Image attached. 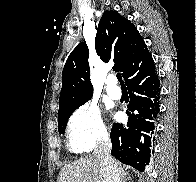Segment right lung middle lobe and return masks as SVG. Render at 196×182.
<instances>
[{
	"mask_svg": "<svg viewBox=\"0 0 196 182\" xmlns=\"http://www.w3.org/2000/svg\"><path fill=\"white\" fill-rule=\"evenodd\" d=\"M78 107H76V108H78ZM76 108H74V109L70 110L69 112L58 117V129H59L60 134L61 133L64 134L68 119Z\"/></svg>",
	"mask_w": 196,
	"mask_h": 182,
	"instance_id": "right-lung-middle-lobe-1",
	"label": "right lung middle lobe"
}]
</instances>
